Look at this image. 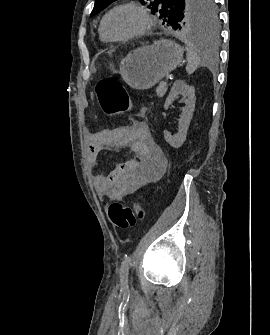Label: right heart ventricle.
<instances>
[{
    "label": "right heart ventricle",
    "instance_id": "e07e8e85",
    "mask_svg": "<svg viewBox=\"0 0 270 335\" xmlns=\"http://www.w3.org/2000/svg\"><path fill=\"white\" fill-rule=\"evenodd\" d=\"M99 35H100V39L103 42H109L110 40L105 36V34L103 33V31L101 30V28L99 29Z\"/></svg>",
    "mask_w": 270,
    "mask_h": 335
}]
</instances>
